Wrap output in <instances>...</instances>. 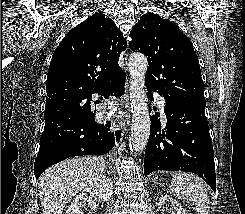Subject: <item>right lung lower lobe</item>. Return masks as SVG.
Segmentation results:
<instances>
[{"instance_id":"1","label":"right lung lower lobe","mask_w":245,"mask_h":214,"mask_svg":"<svg viewBox=\"0 0 245 214\" xmlns=\"http://www.w3.org/2000/svg\"><path fill=\"white\" fill-rule=\"evenodd\" d=\"M123 75L112 82L109 89L100 92L106 98L109 95L120 97L124 92ZM45 112V127L40 140V149L34 163L36 179L49 167L66 158L81 155H104L115 144L114 135L109 132L111 122L106 125L95 122V114L91 112L90 102L83 103L78 110L60 112L58 107L69 109L64 96H57ZM62 105V106H61ZM45 117V116H44Z\"/></svg>"}]
</instances>
